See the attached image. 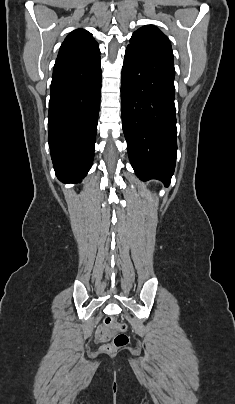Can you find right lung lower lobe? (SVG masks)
Wrapping results in <instances>:
<instances>
[{
	"mask_svg": "<svg viewBox=\"0 0 235 404\" xmlns=\"http://www.w3.org/2000/svg\"><path fill=\"white\" fill-rule=\"evenodd\" d=\"M100 90V57L54 66L48 142L54 170L64 183L80 181L92 166Z\"/></svg>",
	"mask_w": 235,
	"mask_h": 404,
	"instance_id": "right-lung-lower-lobe-1",
	"label": "right lung lower lobe"
}]
</instances>
